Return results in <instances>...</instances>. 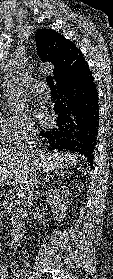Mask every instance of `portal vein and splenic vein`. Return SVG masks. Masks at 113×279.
<instances>
[{
  "instance_id": "1",
  "label": "portal vein and splenic vein",
  "mask_w": 113,
  "mask_h": 279,
  "mask_svg": "<svg viewBox=\"0 0 113 279\" xmlns=\"http://www.w3.org/2000/svg\"><path fill=\"white\" fill-rule=\"evenodd\" d=\"M16 192H17L18 196L23 197L24 196V187L23 186H19L17 188Z\"/></svg>"
}]
</instances>
